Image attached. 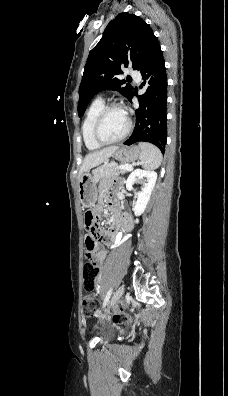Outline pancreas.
I'll return each instance as SVG.
<instances>
[{
    "mask_svg": "<svg viewBox=\"0 0 228 396\" xmlns=\"http://www.w3.org/2000/svg\"><path fill=\"white\" fill-rule=\"evenodd\" d=\"M124 173H126V170L119 169V166L115 163H109L97 169L94 179L96 182H99L100 179L118 176Z\"/></svg>",
    "mask_w": 228,
    "mask_h": 396,
    "instance_id": "pancreas-1",
    "label": "pancreas"
}]
</instances>
